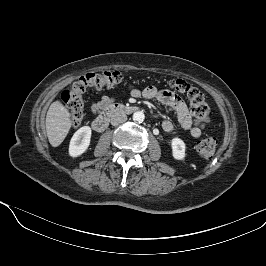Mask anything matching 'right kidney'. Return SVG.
I'll list each match as a JSON object with an SVG mask.
<instances>
[{
  "label": "right kidney",
  "instance_id": "ca27d5eb",
  "mask_svg": "<svg viewBox=\"0 0 266 266\" xmlns=\"http://www.w3.org/2000/svg\"><path fill=\"white\" fill-rule=\"evenodd\" d=\"M91 140V128L83 126L78 129L71 138L69 145V155L78 157L82 155L89 147Z\"/></svg>",
  "mask_w": 266,
  "mask_h": 266
}]
</instances>
